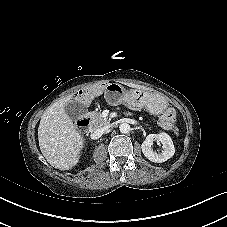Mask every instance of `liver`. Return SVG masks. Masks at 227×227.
<instances>
[{"label":"liver","mask_w":227,"mask_h":227,"mask_svg":"<svg viewBox=\"0 0 227 227\" xmlns=\"http://www.w3.org/2000/svg\"><path fill=\"white\" fill-rule=\"evenodd\" d=\"M72 98V95L67 96L47 108L38 127L41 153L51 166L59 170L74 167L84 145L83 136L65 111Z\"/></svg>","instance_id":"6515ba94"}]
</instances>
